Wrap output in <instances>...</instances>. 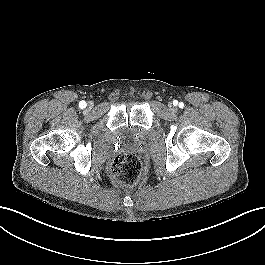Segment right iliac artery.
Masks as SVG:
<instances>
[{
  "label": "right iliac artery",
  "mask_w": 265,
  "mask_h": 265,
  "mask_svg": "<svg viewBox=\"0 0 265 265\" xmlns=\"http://www.w3.org/2000/svg\"><path fill=\"white\" fill-rule=\"evenodd\" d=\"M86 105H87V104H86L85 101H80V103H79V107H80L81 109L85 108Z\"/></svg>",
  "instance_id": "obj_1"
}]
</instances>
